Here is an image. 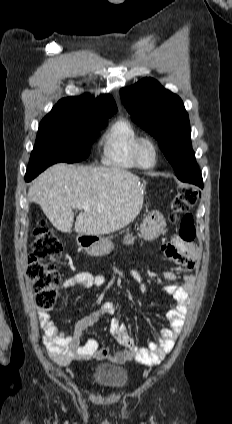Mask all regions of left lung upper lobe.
Segmentation results:
<instances>
[{"label":"left lung upper lobe","mask_w":232,"mask_h":424,"mask_svg":"<svg viewBox=\"0 0 232 424\" xmlns=\"http://www.w3.org/2000/svg\"><path fill=\"white\" fill-rule=\"evenodd\" d=\"M120 96L132 120L159 141L180 180L199 171L191 145L189 117L176 94L156 80L144 78L121 89Z\"/></svg>","instance_id":"obj_1"}]
</instances>
